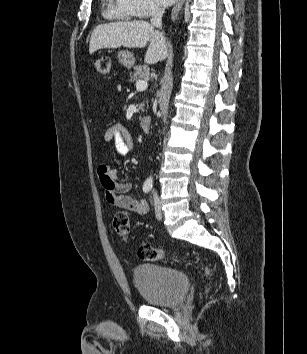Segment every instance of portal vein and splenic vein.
Masks as SVG:
<instances>
[{
	"label": "portal vein and splenic vein",
	"instance_id": "1",
	"mask_svg": "<svg viewBox=\"0 0 307 354\" xmlns=\"http://www.w3.org/2000/svg\"><path fill=\"white\" fill-rule=\"evenodd\" d=\"M148 87L147 80H139L136 82V90L137 91H144Z\"/></svg>",
	"mask_w": 307,
	"mask_h": 354
}]
</instances>
